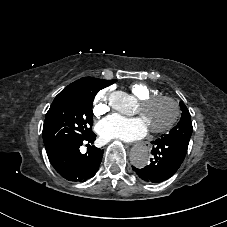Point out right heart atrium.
<instances>
[{
    "mask_svg": "<svg viewBox=\"0 0 227 227\" xmlns=\"http://www.w3.org/2000/svg\"><path fill=\"white\" fill-rule=\"evenodd\" d=\"M107 99H108V90L107 89L101 90L97 94V96L95 98L96 106L94 108V112L96 115H102L109 110V105H108Z\"/></svg>",
    "mask_w": 227,
    "mask_h": 227,
    "instance_id": "right-heart-atrium-1",
    "label": "right heart atrium"
}]
</instances>
